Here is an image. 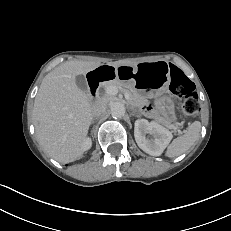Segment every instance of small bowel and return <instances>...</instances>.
Masks as SVG:
<instances>
[{
  "mask_svg": "<svg viewBox=\"0 0 231 231\" xmlns=\"http://www.w3.org/2000/svg\"><path fill=\"white\" fill-rule=\"evenodd\" d=\"M126 69H127V70L130 69V70L132 71V68H130V67H126Z\"/></svg>",
  "mask_w": 231,
  "mask_h": 231,
  "instance_id": "small-bowel-1",
  "label": "small bowel"
}]
</instances>
